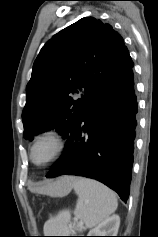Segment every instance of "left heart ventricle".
<instances>
[{"label": "left heart ventricle", "mask_w": 158, "mask_h": 237, "mask_svg": "<svg viewBox=\"0 0 158 237\" xmlns=\"http://www.w3.org/2000/svg\"><path fill=\"white\" fill-rule=\"evenodd\" d=\"M54 149L55 144L51 140L40 141L34 149V160L38 163L44 162L52 155Z\"/></svg>", "instance_id": "obj_1"}]
</instances>
